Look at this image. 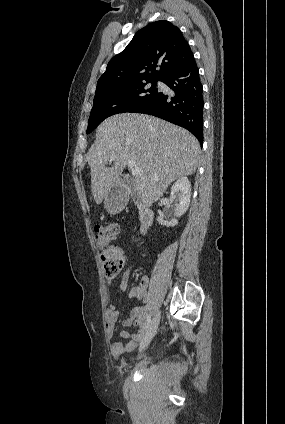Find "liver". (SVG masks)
I'll return each instance as SVG.
<instances>
[{"label": "liver", "instance_id": "obj_1", "mask_svg": "<svg viewBox=\"0 0 285 424\" xmlns=\"http://www.w3.org/2000/svg\"><path fill=\"white\" fill-rule=\"evenodd\" d=\"M199 155L200 144L186 129L150 115H114L99 125L87 155L94 200L102 203L132 160L141 168L135 191L151 204L177 178L195 172ZM109 161H114L110 168Z\"/></svg>", "mask_w": 285, "mask_h": 424}]
</instances>
